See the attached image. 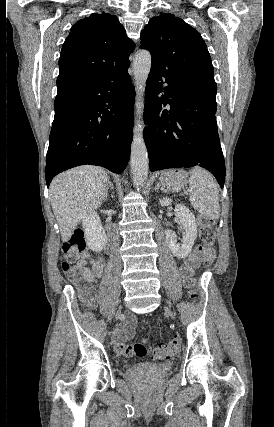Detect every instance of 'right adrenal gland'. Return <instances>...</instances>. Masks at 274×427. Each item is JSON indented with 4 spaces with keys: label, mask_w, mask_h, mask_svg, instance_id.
Listing matches in <instances>:
<instances>
[{
    "label": "right adrenal gland",
    "mask_w": 274,
    "mask_h": 427,
    "mask_svg": "<svg viewBox=\"0 0 274 427\" xmlns=\"http://www.w3.org/2000/svg\"><path fill=\"white\" fill-rule=\"evenodd\" d=\"M108 188H110V190H114V186H113L112 182H109Z\"/></svg>",
    "instance_id": "right-adrenal-gland-1"
}]
</instances>
